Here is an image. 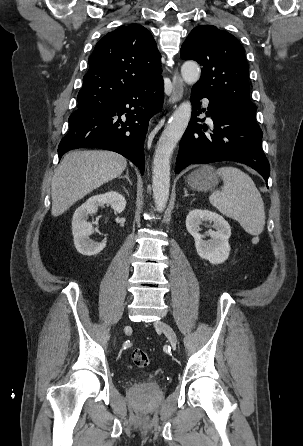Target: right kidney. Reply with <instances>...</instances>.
I'll return each instance as SVG.
<instances>
[{
	"mask_svg": "<svg viewBox=\"0 0 303 446\" xmlns=\"http://www.w3.org/2000/svg\"><path fill=\"white\" fill-rule=\"evenodd\" d=\"M104 204H110L116 212L121 213L126 207V200L123 195L115 191L95 195L78 207L73 215L72 234L74 245L82 255H96L106 246V241L94 242L88 238L92 234V225L87 222L88 216L96 213L98 207Z\"/></svg>",
	"mask_w": 303,
	"mask_h": 446,
	"instance_id": "obj_1",
	"label": "right kidney"
}]
</instances>
